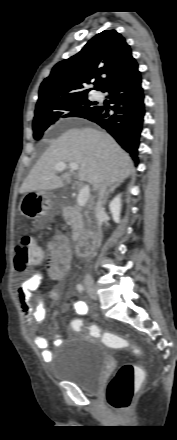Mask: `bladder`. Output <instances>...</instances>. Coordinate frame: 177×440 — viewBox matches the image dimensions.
I'll list each match as a JSON object with an SVG mask.
<instances>
[{
  "label": "bladder",
  "instance_id": "31cf9c89",
  "mask_svg": "<svg viewBox=\"0 0 177 440\" xmlns=\"http://www.w3.org/2000/svg\"><path fill=\"white\" fill-rule=\"evenodd\" d=\"M62 347L66 352L53 361V377L73 383L86 392H97L107 367L106 349L94 338L80 339L77 345Z\"/></svg>",
  "mask_w": 177,
  "mask_h": 440
}]
</instances>
